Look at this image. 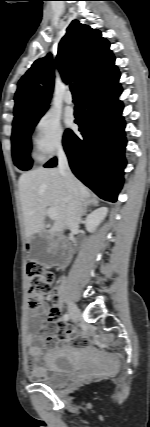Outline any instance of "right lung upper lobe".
<instances>
[{
  "mask_svg": "<svg viewBox=\"0 0 150 427\" xmlns=\"http://www.w3.org/2000/svg\"><path fill=\"white\" fill-rule=\"evenodd\" d=\"M109 46L99 30L73 20L59 43L56 57L63 80L75 81L80 92L114 67L115 58ZM53 85V61L49 54L36 60L20 79L14 98L13 123L46 111Z\"/></svg>",
  "mask_w": 150,
  "mask_h": 427,
  "instance_id": "right-lung-upper-lobe-1",
  "label": "right lung upper lobe"
}]
</instances>
